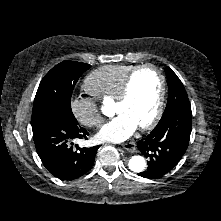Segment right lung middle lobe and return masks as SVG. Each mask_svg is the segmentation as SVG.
Here are the masks:
<instances>
[{"label":"right lung middle lobe","instance_id":"dd1d6c3e","mask_svg":"<svg viewBox=\"0 0 221 221\" xmlns=\"http://www.w3.org/2000/svg\"><path fill=\"white\" fill-rule=\"evenodd\" d=\"M89 68V64L75 61H64L53 67L37 90L31 125L54 117L77 121L71 110V96L79 77Z\"/></svg>","mask_w":221,"mask_h":221}]
</instances>
